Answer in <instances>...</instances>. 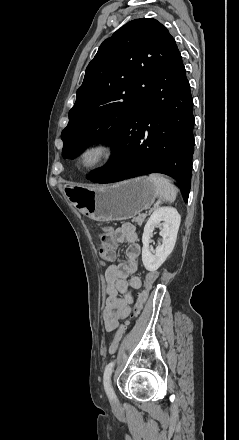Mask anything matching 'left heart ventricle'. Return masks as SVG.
<instances>
[{
    "mask_svg": "<svg viewBox=\"0 0 239 440\" xmlns=\"http://www.w3.org/2000/svg\"><path fill=\"white\" fill-rule=\"evenodd\" d=\"M96 159H97L96 153H92V154L88 155V157L86 159V163L87 164H92V163H94L96 161Z\"/></svg>",
    "mask_w": 239,
    "mask_h": 440,
    "instance_id": "obj_1",
    "label": "left heart ventricle"
}]
</instances>
